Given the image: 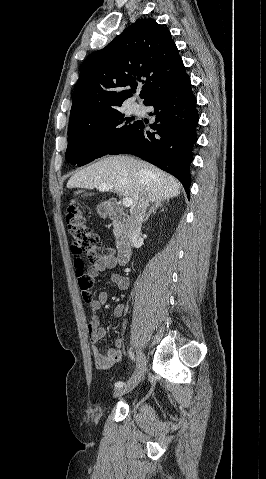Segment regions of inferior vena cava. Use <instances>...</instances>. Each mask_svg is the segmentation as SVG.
I'll use <instances>...</instances> for the list:
<instances>
[{
	"label": "inferior vena cava",
	"instance_id": "1",
	"mask_svg": "<svg viewBox=\"0 0 266 479\" xmlns=\"http://www.w3.org/2000/svg\"><path fill=\"white\" fill-rule=\"evenodd\" d=\"M148 203L149 201L146 198V194L143 193L137 205L131 211L132 222L129 225V229H128L129 241L131 245H135L139 239V236L141 234V226H142L143 218H144Z\"/></svg>",
	"mask_w": 266,
	"mask_h": 479
}]
</instances>
